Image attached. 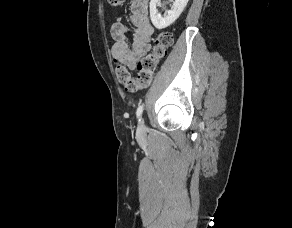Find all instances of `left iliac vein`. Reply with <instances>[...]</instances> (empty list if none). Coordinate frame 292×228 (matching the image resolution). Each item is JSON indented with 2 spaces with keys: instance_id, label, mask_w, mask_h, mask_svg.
I'll list each match as a JSON object with an SVG mask.
<instances>
[{
  "instance_id": "left-iliac-vein-1",
  "label": "left iliac vein",
  "mask_w": 292,
  "mask_h": 228,
  "mask_svg": "<svg viewBox=\"0 0 292 228\" xmlns=\"http://www.w3.org/2000/svg\"><path fill=\"white\" fill-rule=\"evenodd\" d=\"M145 132H146V126L144 124V121L143 120H140L139 121V124H138V128H137V134L139 136H142V135L145 134Z\"/></svg>"
}]
</instances>
